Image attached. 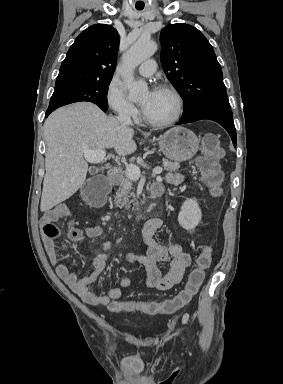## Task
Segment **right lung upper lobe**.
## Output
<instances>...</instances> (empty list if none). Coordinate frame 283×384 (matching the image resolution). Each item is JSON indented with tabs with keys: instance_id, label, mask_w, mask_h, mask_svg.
Returning a JSON list of instances; mask_svg holds the SVG:
<instances>
[{
	"instance_id": "right-lung-upper-lobe-1",
	"label": "right lung upper lobe",
	"mask_w": 283,
	"mask_h": 384,
	"mask_svg": "<svg viewBox=\"0 0 283 384\" xmlns=\"http://www.w3.org/2000/svg\"><path fill=\"white\" fill-rule=\"evenodd\" d=\"M119 34L112 26L95 24L75 39L61 64L56 86L111 80L119 47Z\"/></svg>"
}]
</instances>
